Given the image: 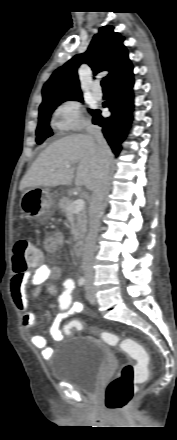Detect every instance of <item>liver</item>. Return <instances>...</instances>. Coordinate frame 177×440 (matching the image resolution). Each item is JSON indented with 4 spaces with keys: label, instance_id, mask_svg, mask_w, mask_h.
<instances>
[{
    "label": "liver",
    "instance_id": "1",
    "mask_svg": "<svg viewBox=\"0 0 177 440\" xmlns=\"http://www.w3.org/2000/svg\"><path fill=\"white\" fill-rule=\"evenodd\" d=\"M96 142L89 135H71L49 145L34 161L20 183V190L35 187L75 185L92 190L98 176V152ZM104 158L109 164L113 159L110 147L104 141ZM73 165L66 168L65 165ZM78 164L77 167H74Z\"/></svg>",
    "mask_w": 177,
    "mask_h": 440
}]
</instances>
